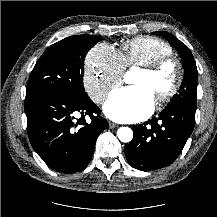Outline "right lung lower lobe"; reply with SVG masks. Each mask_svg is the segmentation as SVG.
<instances>
[{
	"instance_id": "98d812e1",
	"label": "right lung lower lobe",
	"mask_w": 217,
	"mask_h": 217,
	"mask_svg": "<svg viewBox=\"0 0 217 217\" xmlns=\"http://www.w3.org/2000/svg\"><path fill=\"white\" fill-rule=\"evenodd\" d=\"M25 113L33 149L60 173L83 170L92 158L97 137L108 128L107 120L100 117V109L88 96H29L25 98ZM86 115L91 119L89 123Z\"/></svg>"
}]
</instances>
